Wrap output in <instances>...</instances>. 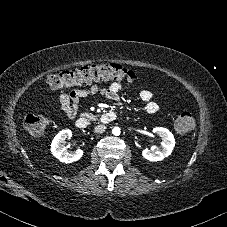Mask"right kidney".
<instances>
[{
  "instance_id": "right-kidney-1",
  "label": "right kidney",
  "mask_w": 227,
  "mask_h": 227,
  "mask_svg": "<svg viewBox=\"0 0 227 227\" xmlns=\"http://www.w3.org/2000/svg\"><path fill=\"white\" fill-rule=\"evenodd\" d=\"M71 130L65 129L60 131L52 140L51 152L53 156L63 163H72L79 160L83 156V150L77 149L74 152H68L65 147L66 138L71 137Z\"/></svg>"
}]
</instances>
